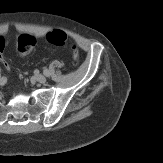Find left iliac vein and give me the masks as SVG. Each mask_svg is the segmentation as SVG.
Masks as SVG:
<instances>
[{
    "label": "left iliac vein",
    "instance_id": "left-iliac-vein-1",
    "mask_svg": "<svg viewBox=\"0 0 163 163\" xmlns=\"http://www.w3.org/2000/svg\"><path fill=\"white\" fill-rule=\"evenodd\" d=\"M34 78L37 82L41 84H44L46 82V77L42 74H36Z\"/></svg>",
    "mask_w": 163,
    "mask_h": 163
}]
</instances>
